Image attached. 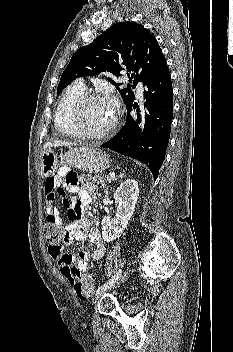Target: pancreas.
I'll return each mask as SVG.
<instances>
[{
    "label": "pancreas",
    "mask_w": 233,
    "mask_h": 352,
    "mask_svg": "<svg viewBox=\"0 0 233 352\" xmlns=\"http://www.w3.org/2000/svg\"><path fill=\"white\" fill-rule=\"evenodd\" d=\"M87 178L97 183L101 187H104L106 183L111 182L112 180V178L109 175H97V176L87 175Z\"/></svg>",
    "instance_id": "obj_1"
}]
</instances>
